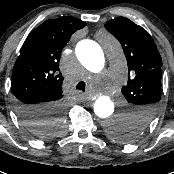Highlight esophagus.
Masks as SVG:
<instances>
[{
    "mask_svg": "<svg viewBox=\"0 0 174 174\" xmlns=\"http://www.w3.org/2000/svg\"><path fill=\"white\" fill-rule=\"evenodd\" d=\"M93 98V96H88V97H86L85 98V100L87 99V100H91Z\"/></svg>",
    "mask_w": 174,
    "mask_h": 174,
    "instance_id": "esophagus-1",
    "label": "esophagus"
}]
</instances>
